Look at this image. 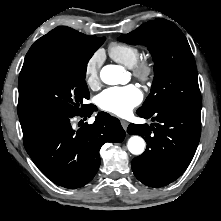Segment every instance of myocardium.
<instances>
[{"mask_svg":"<svg viewBox=\"0 0 221 221\" xmlns=\"http://www.w3.org/2000/svg\"><path fill=\"white\" fill-rule=\"evenodd\" d=\"M132 72L141 82L145 84L151 83L155 74L154 64L150 59H139L132 67Z\"/></svg>","mask_w":221,"mask_h":221,"instance_id":"1","label":"myocardium"}]
</instances>
